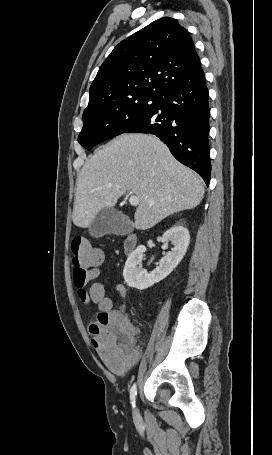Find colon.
I'll use <instances>...</instances> for the list:
<instances>
[{"mask_svg":"<svg viewBox=\"0 0 272 455\" xmlns=\"http://www.w3.org/2000/svg\"><path fill=\"white\" fill-rule=\"evenodd\" d=\"M74 284L83 302L97 303L101 307L96 322L89 327L91 341L104 364L111 370L128 366L135 358L132 347L133 327L122 317L109 311L110 302L104 297L101 284L92 283L96 268L102 263L100 249L83 237L71 242Z\"/></svg>","mask_w":272,"mask_h":455,"instance_id":"1","label":"colon"}]
</instances>
